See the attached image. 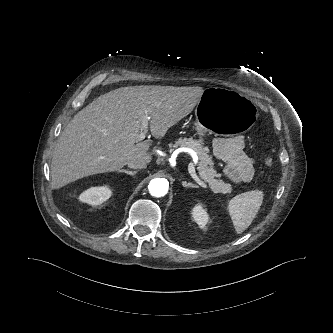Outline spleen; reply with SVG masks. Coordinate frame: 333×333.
<instances>
[{"label": "spleen", "mask_w": 333, "mask_h": 333, "mask_svg": "<svg viewBox=\"0 0 333 333\" xmlns=\"http://www.w3.org/2000/svg\"><path fill=\"white\" fill-rule=\"evenodd\" d=\"M262 201L263 193L259 190L238 194L229 201V215L238 234L251 225L262 205Z\"/></svg>", "instance_id": "1"}]
</instances>
